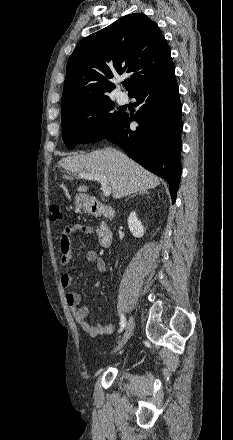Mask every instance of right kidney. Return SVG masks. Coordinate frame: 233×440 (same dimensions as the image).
Returning a JSON list of instances; mask_svg holds the SVG:
<instances>
[{
  "mask_svg": "<svg viewBox=\"0 0 233 440\" xmlns=\"http://www.w3.org/2000/svg\"><path fill=\"white\" fill-rule=\"evenodd\" d=\"M128 227L130 229V232L133 234L136 238H141L144 235V227L140 220L137 218L136 212H131L128 217Z\"/></svg>",
  "mask_w": 233,
  "mask_h": 440,
  "instance_id": "right-kidney-1",
  "label": "right kidney"
}]
</instances>
